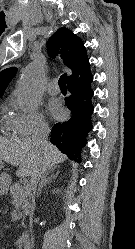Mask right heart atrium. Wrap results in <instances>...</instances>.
Segmentation results:
<instances>
[{
  "label": "right heart atrium",
  "mask_w": 135,
  "mask_h": 249,
  "mask_svg": "<svg viewBox=\"0 0 135 249\" xmlns=\"http://www.w3.org/2000/svg\"><path fill=\"white\" fill-rule=\"evenodd\" d=\"M15 132L22 136L45 134L48 131L43 114L36 108L20 111L12 118Z\"/></svg>",
  "instance_id": "d8ad5b80"
}]
</instances>
